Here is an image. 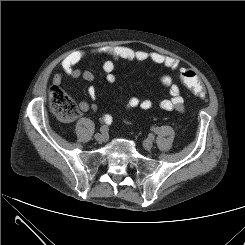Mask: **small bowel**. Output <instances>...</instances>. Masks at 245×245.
<instances>
[{"mask_svg":"<svg viewBox=\"0 0 245 245\" xmlns=\"http://www.w3.org/2000/svg\"><path fill=\"white\" fill-rule=\"evenodd\" d=\"M87 55H106L113 59L107 60L103 64V70L106 74V80L109 83H114L116 81V75L114 73L115 61H151L154 64L161 65L170 70H176L179 67V61L176 58L157 52L134 51L124 46H108L100 50L78 51L67 56L60 64L62 73L53 76V83H61L64 75L70 76L75 79L82 78L85 81H91L94 78V75L91 71L76 68V65L81 62ZM161 83L164 88L168 90L169 98L164 99L160 102V108L165 111H176L182 113L184 111V100L181 96L180 87L173 82L170 75H163L161 77ZM88 94L91 99H95L96 89L94 87H89ZM152 105V101L149 98L131 96L127 100L124 109L127 111L135 109L148 111L152 108ZM79 108L82 112H86L89 110L90 105L86 101H81L79 103ZM92 108L95 109L96 106L93 105ZM109 117H111V115L106 114L103 116L102 120L107 123Z\"/></svg>","mask_w":245,"mask_h":245,"instance_id":"small-bowel-1","label":"small bowel"}]
</instances>
